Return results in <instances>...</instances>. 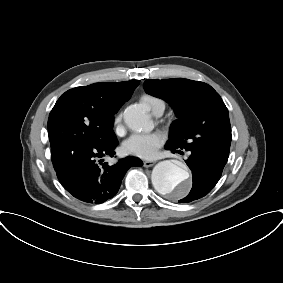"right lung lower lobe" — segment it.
<instances>
[{
	"mask_svg": "<svg viewBox=\"0 0 283 283\" xmlns=\"http://www.w3.org/2000/svg\"><path fill=\"white\" fill-rule=\"evenodd\" d=\"M118 141L108 146L83 144L71 151L51 152V160L63 187L75 198L87 203H103L118 192L130 167L143 165L138 158L128 156L115 165L101 164L102 157H113Z\"/></svg>",
	"mask_w": 283,
	"mask_h": 283,
	"instance_id": "obj_1",
	"label": "right lung lower lobe"
}]
</instances>
